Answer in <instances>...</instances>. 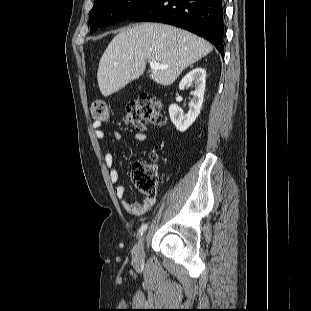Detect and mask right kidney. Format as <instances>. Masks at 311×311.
Returning <instances> with one entry per match:
<instances>
[{
  "label": "right kidney",
  "instance_id": "right-kidney-1",
  "mask_svg": "<svg viewBox=\"0 0 311 311\" xmlns=\"http://www.w3.org/2000/svg\"><path fill=\"white\" fill-rule=\"evenodd\" d=\"M205 78V69L197 67L187 73L179 83V89L181 90L194 84L193 98L189 104V111L187 114H184L176 104H172L169 107L170 119L180 132L186 131L200 114L204 98Z\"/></svg>",
  "mask_w": 311,
  "mask_h": 311
}]
</instances>
